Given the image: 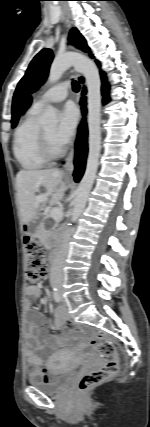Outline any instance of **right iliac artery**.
Here are the masks:
<instances>
[{
    "instance_id": "obj_1",
    "label": "right iliac artery",
    "mask_w": 150,
    "mask_h": 427,
    "mask_svg": "<svg viewBox=\"0 0 150 427\" xmlns=\"http://www.w3.org/2000/svg\"><path fill=\"white\" fill-rule=\"evenodd\" d=\"M53 298L56 302H60V300H61L60 295L57 292V289H54Z\"/></svg>"
}]
</instances>
